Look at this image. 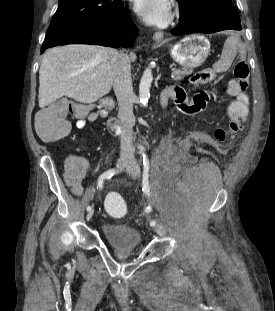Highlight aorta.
Returning a JSON list of instances; mask_svg holds the SVG:
<instances>
[{"label": "aorta", "instance_id": "aorta-1", "mask_svg": "<svg viewBox=\"0 0 275 311\" xmlns=\"http://www.w3.org/2000/svg\"><path fill=\"white\" fill-rule=\"evenodd\" d=\"M153 80L152 70L148 67L141 78L139 84V97L142 105H146L150 97V87Z\"/></svg>", "mask_w": 275, "mask_h": 311}]
</instances>
